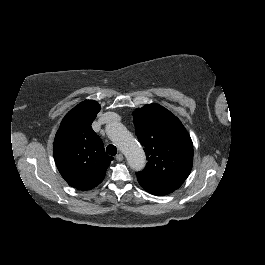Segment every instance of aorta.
Instances as JSON below:
<instances>
[{"label": "aorta", "instance_id": "obj_1", "mask_svg": "<svg viewBox=\"0 0 265 265\" xmlns=\"http://www.w3.org/2000/svg\"><path fill=\"white\" fill-rule=\"evenodd\" d=\"M105 133L107 138L112 142H119V137H123L120 147L126 157L128 166L133 172L144 170L146 166V154L138 141L121 122L106 124Z\"/></svg>", "mask_w": 265, "mask_h": 265}]
</instances>
